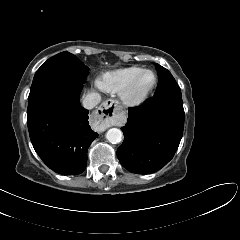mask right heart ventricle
Wrapping results in <instances>:
<instances>
[{
    "instance_id": "1",
    "label": "right heart ventricle",
    "mask_w": 240,
    "mask_h": 240,
    "mask_svg": "<svg viewBox=\"0 0 240 240\" xmlns=\"http://www.w3.org/2000/svg\"><path fill=\"white\" fill-rule=\"evenodd\" d=\"M144 68L131 66L106 72L98 81V85L104 91L120 93Z\"/></svg>"
}]
</instances>
